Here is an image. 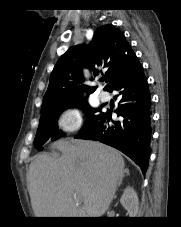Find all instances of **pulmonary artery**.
<instances>
[{
  "instance_id": "e3ab8cb5",
  "label": "pulmonary artery",
  "mask_w": 181,
  "mask_h": 227,
  "mask_svg": "<svg viewBox=\"0 0 181 227\" xmlns=\"http://www.w3.org/2000/svg\"><path fill=\"white\" fill-rule=\"evenodd\" d=\"M99 99L102 102H108L110 100V95L109 93L102 91L99 93Z\"/></svg>"
}]
</instances>
